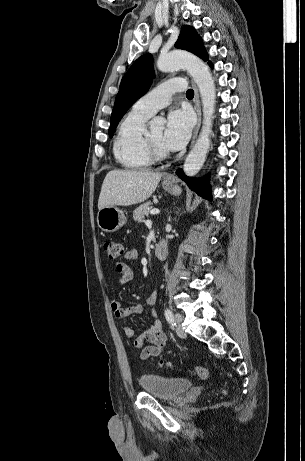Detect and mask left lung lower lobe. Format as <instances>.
Segmentation results:
<instances>
[{
  "label": "left lung lower lobe",
  "mask_w": 305,
  "mask_h": 461,
  "mask_svg": "<svg viewBox=\"0 0 305 461\" xmlns=\"http://www.w3.org/2000/svg\"><path fill=\"white\" fill-rule=\"evenodd\" d=\"M208 64L210 65V67L213 68V65L211 62H208ZM176 174L178 175L179 178L185 181L192 190L196 191L198 195L208 200H212L210 186L207 182V179H208L207 177H204L201 179H195L192 177H188L184 174V172L181 169H178Z\"/></svg>",
  "instance_id": "obj_1"
}]
</instances>
